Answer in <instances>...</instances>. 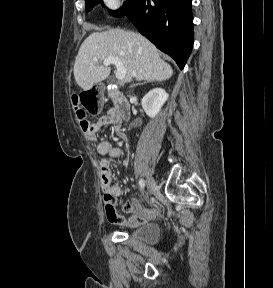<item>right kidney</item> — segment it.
I'll list each match as a JSON object with an SVG mask.
<instances>
[{"label":"right kidney","mask_w":273,"mask_h":288,"mask_svg":"<svg viewBox=\"0 0 273 288\" xmlns=\"http://www.w3.org/2000/svg\"><path fill=\"white\" fill-rule=\"evenodd\" d=\"M168 99V94L162 88H154L142 99L141 104L150 118H155Z\"/></svg>","instance_id":"right-kidney-1"}]
</instances>
